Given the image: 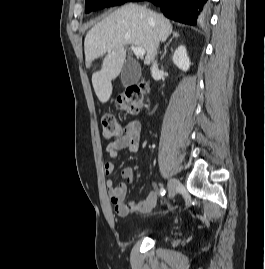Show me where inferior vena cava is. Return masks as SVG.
Returning <instances> with one entry per match:
<instances>
[{
    "mask_svg": "<svg viewBox=\"0 0 265 269\" xmlns=\"http://www.w3.org/2000/svg\"><path fill=\"white\" fill-rule=\"evenodd\" d=\"M158 72V64L157 62L155 61L153 63V66L151 68V73H152V76L154 77L156 75V73Z\"/></svg>",
    "mask_w": 265,
    "mask_h": 269,
    "instance_id": "obj_1",
    "label": "inferior vena cava"
}]
</instances>
